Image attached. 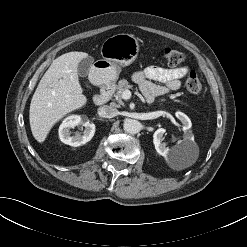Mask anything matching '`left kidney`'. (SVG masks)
Segmentation results:
<instances>
[{
    "mask_svg": "<svg viewBox=\"0 0 247 247\" xmlns=\"http://www.w3.org/2000/svg\"><path fill=\"white\" fill-rule=\"evenodd\" d=\"M176 117L181 121L183 124V140L178 141L177 145L173 148L166 147V144L162 142L163 135L165 133V129L159 128L155 131L153 135V143L155 145L156 151L165 158H168L178 151L184 148H192L196 147V143L194 141V135L191 131L192 123L187 115L182 112H176Z\"/></svg>",
    "mask_w": 247,
    "mask_h": 247,
    "instance_id": "obj_1",
    "label": "left kidney"
}]
</instances>
